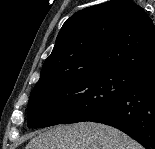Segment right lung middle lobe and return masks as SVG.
I'll list each match as a JSON object with an SVG mask.
<instances>
[{"mask_svg": "<svg viewBox=\"0 0 155 149\" xmlns=\"http://www.w3.org/2000/svg\"><path fill=\"white\" fill-rule=\"evenodd\" d=\"M141 76L130 70L89 71L39 81L28 102V127L91 121Z\"/></svg>", "mask_w": 155, "mask_h": 149, "instance_id": "obj_1", "label": "right lung middle lobe"}]
</instances>
